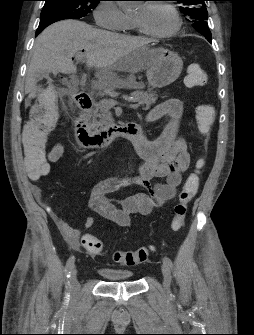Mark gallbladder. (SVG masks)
Here are the masks:
<instances>
[{
    "instance_id": "1",
    "label": "gallbladder",
    "mask_w": 254,
    "mask_h": 335,
    "mask_svg": "<svg viewBox=\"0 0 254 335\" xmlns=\"http://www.w3.org/2000/svg\"><path fill=\"white\" fill-rule=\"evenodd\" d=\"M38 78H49V74H39Z\"/></svg>"
}]
</instances>
